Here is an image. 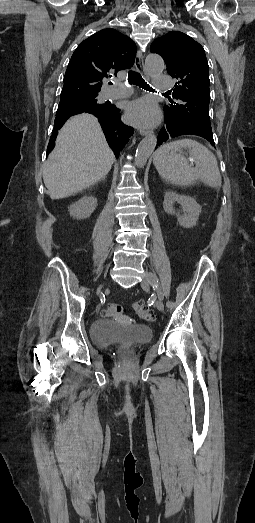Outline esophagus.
I'll return each mask as SVG.
<instances>
[{
  "instance_id": "esophagus-1",
  "label": "esophagus",
  "mask_w": 255,
  "mask_h": 523,
  "mask_svg": "<svg viewBox=\"0 0 255 523\" xmlns=\"http://www.w3.org/2000/svg\"><path fill=\"white\" fill-rule=\"evenodd\" d=\"M135 67L138 70V72H141L142 74H145L144 60H143V55H142L141 50H138V52L136 54V57H135ZM151 133H152V130H149L147 128H141L140 129V134L143 135V136L150 135Z\"/></svg>"
}]
</instances>
